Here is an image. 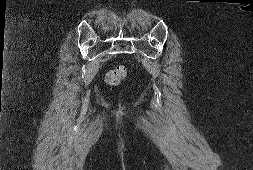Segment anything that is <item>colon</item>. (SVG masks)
<instances>
[{
  "label": "colon",
  "instance_id": "1",
  "mask_svg": "<svg viewBox=\"0 0 253 170\" xmlns=\"http://www.w3.org/2000/svg\"><path fill=\"white\" fill-rule=\"evenodd\" d=\"M127 74L125 66L120 65L106 74L105 80L109 85L119 84Z\"/></svg>",
  "mask_w": 253,
  "mask_h": 170
}]
</instances>
